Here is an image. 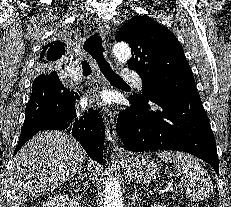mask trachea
<instances>
[{"label": "trachea", "instance_id": "1", "mask_svg": "<svg viewBox=\"0 0 231 207\" xmlns=\"http://www.w3.org/2000/svg\"><path fill=\"white\" fill-rule=\"evenodd\" d=\"M85 51L95 60L100 68L101 73L112 83H125L124 80L116 74L110 64L105 59L103 52L104 47L102 43V37L98 32L90 35L84 44ZM83 75L88 76L91 74V66L87 61H82Z\"/></svg>", "mask_w": 231, "mask_h": 207}]
</instances>
